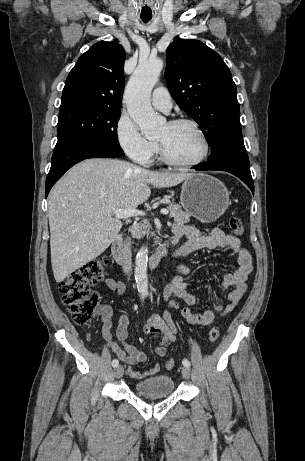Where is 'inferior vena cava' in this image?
I'll return each instance as SVG.
<instances>
[{
	"label": "inferior vena cava",
	"instance_id": "602c4592",
	"mask_svg": "<svg viewBox=\"0 0 305 461\" xmlns=\"http://www.w3.org/2000/svg\"><path fill=\"white\" fill-rule=\"evenodd\" d=\"M122 258H123V265H122L123 271L125 274L129 276V274L132 271V268H131L132 252H131V242L129 238H127L123 246Z\"/></svg>",
	"mask_w": 305,
	"mask_h": 461
}]
</instances>
